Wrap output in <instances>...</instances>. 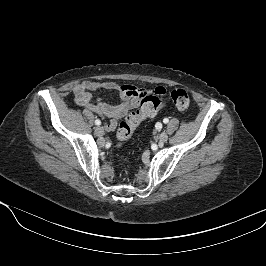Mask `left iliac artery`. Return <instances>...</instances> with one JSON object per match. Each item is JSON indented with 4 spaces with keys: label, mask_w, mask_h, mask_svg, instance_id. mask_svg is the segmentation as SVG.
Listing matches in <instances>:
<instances>
[{
    "label": "left iliac artery",
    "mask_w": 266,
    "mask_h": 266,
    "mask_svg": "<svg viewBox=\"0 0 266 266\" xmlns=\"http://www.w3.org/2000/svg\"><path fill=\"white\" fill-rule=\"evenodd\" d=\"M163 122L166 124V123L169 122V120H168L167 118H164V119H163Z\"/></svg>",
    "instance_id": "44dca946"
}]
</instances>
